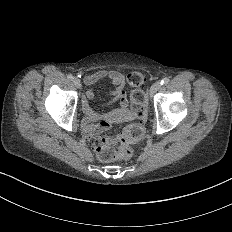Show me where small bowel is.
Returning a JSON list of instances; mask_svg holds the SVG:
<instances>
[{
    "label": "small bowel",
    "mask_w": 232,
    "mask_h": 232,
    "mask_svg": "<svg viewBox=\"0 0 232 232\" xmlns=\"http://www.w3.org/2000/svg\"><path fill=\"white\" fill-rule=\"evenodd\" d=\"M103 79H107L110 84L116 87L119 106L105 113H97L92 106V101L95 98L94 91L87 89L80 94L79 105L84 114V123L81 132L87 139H93L108 131L115 119L126 120L131 116L126 82L119 70L100 69L93 75H84L81 78V83L89 86Z\"/></svg>",
    "instance_id": "c3829d8e"
}]
</instances>
